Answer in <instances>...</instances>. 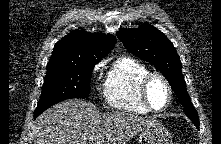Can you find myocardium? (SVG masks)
<instances>
[{
  "label": "myocardium",
  "instance_id": "obj_1",
  "mask_svg": "<svg viewBox=\"0 0 221 144\" xmlns=\"http://www.w3.org/2000/svg\"><path fill=\"white\" fill-rule=\"evenodd\" d=\"M153 79L161 80L164 83L168 92L167 103L161 109H155L149 101L148 88H149L150 82ZM139 96H140V100L142 104L148 109V111L153 112V113H161L169 108L173 99V89L171 87L170 82L163 74L158 73V72H148L145 76L142 77V79L139 82Z\"/></svg>",
  "mask_w": 221,
  "mask_h": 144
}]
</instances>
